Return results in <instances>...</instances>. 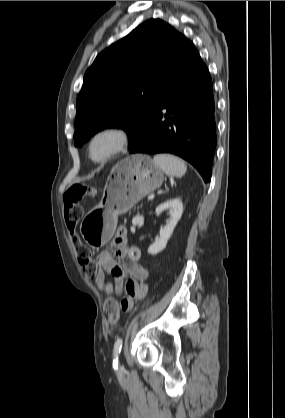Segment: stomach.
<instances>
[{
	"instance_id": "1",
	"label": "stomach",
	"mask_w": 285,
	"mask_h": 418,
	"mask_svg": "<svg viewBox=\"0 0 285 418\" xmlns=\"http://www.w3.org/2000/svg\"><path fill=\"white\" fill-rule=\"evenodd\" d=\"M163 180V170L147 155L134 154L118 162L111 170L100 202L81 222L84 240L94 247L105 245L115 232L118 215L159 188Z\"/></svg>"
}]
</instances>
